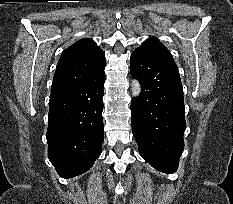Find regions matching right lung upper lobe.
<instances>
[{"instance_id":"1","label":"right lung upper lobe","mask_w":233,"mask_h":204,"mask_svg":"<svg viewBox=\"0 0 233 204\" xmlns=\"http://www.w3.org/2000/svg\"><path fill=\"white\" fill-rule=\"evenodd\" d=\"M104 66L105 54L92 39L75 42L63 51L58 61L51 93L89 81Z\"/></svg>"}]
</instances>
